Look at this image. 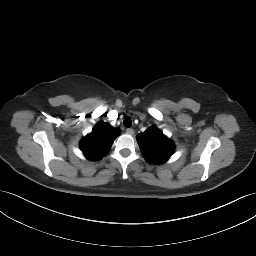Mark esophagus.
Wrapping results in <instances>:
<instances>
[{"label": "esophagus", "mask_w": 256, "mask_h": 256, "mask_svg": "<svg viewBox=\"0 0 256 256\" xmlns=\"http://www.w3.org/2000/svg\"><path fill=\"white\" fill-rule=\"evenodd\" d=\"M126 133L129 135H133L134 134V130L132 128H127L126 129Z\"/></svg>", "instance_id": "esophagus-1"}]
</instances>
